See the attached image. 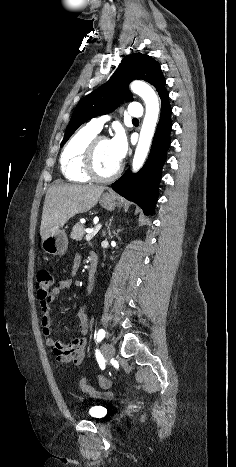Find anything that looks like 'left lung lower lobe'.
<instances>
[{"mask_svg":"<svg viewBox=\"0 0 236 467\" xmlns=\"http://www.w3.org/2000/svg\"><path fill=\"white\" fill-rule=\"evenodd\" d=\"M161 98V115L154 135L151 151L144 167L132 174L127 170L123 176L112 184V189L126 199L139 205L145 215H153L161 179L162 166L166 159V151L170 145L171 107L168 93L163 90Z\"/></svg>","mask_w":236,"mask_h":467,"instance_id":"left-lung-lower-lobe-1","label":"left lung lower lobe"}]
</instances>
